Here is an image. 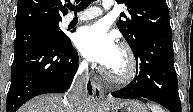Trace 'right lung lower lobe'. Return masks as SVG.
<instances>
[{
    "label": "right lung lower lobe",
    "mask_w": 193,
    "mask_h": 112,
    "mask_svg": "<svg viewBox=\"0 0 193 112\" xmlns=\"http://www.w3.org/2000/svg\"><path fill=\"white\" fill-rule=\"evenodd\" d=\"M78 60L71 41L62 43L53 37L15 51L6 112H16L37 95L66 92L77 71ZM88 92L92 94L90 82Z\"/></svg>",
    "instance_id": "98d812e1"
}]
</instances>
